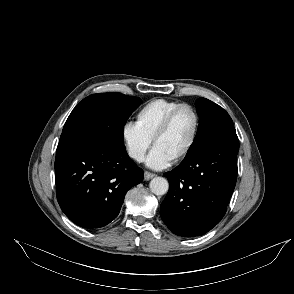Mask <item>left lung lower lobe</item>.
I'll return each instance as SVG.
<instances>
[{"mask_svg": "<svg viewBox=\"0 0 294 294\" xmlns=\"http://www.w3.org/2000/svg\"><path fill=\"white\" fill-rule=\"evenodd\" d=\"M236 132L222 133L195 145L171 172L161 218L175 234L202 235L223 218L237 180Z\"/></svg>", "mask_w": 294, "mask_h": 294, "instance_id": "obj_1", "label": "left lung lower lobe"}]
</instances>
